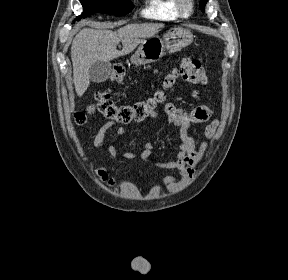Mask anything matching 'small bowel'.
<instances>
[{
    "instance_id": "1",
    "label": "small bowel",
    "mask_w": 288,
    "mask_h": 280,
    "mask_svg": "<svg viewBox=\"0 0 288 280\" xmlns=\"http://www.w3.org/2000/svg\"><path fill=\"white\" fill-rule=\"evenodd\" d=\"M193 96L195 98H199L198 92L194 91ZM163 110L165 113L166 122L173 125L179 131L180 140L175 159L166 162H158L157 164L165 169L177 170L178 175L161 177L158 179V182L164 185L168 190L175 191L185 186L188 180L194 176L195 169L203 159L205 150L207 148L206 142L202 143L198 149L196 148V142L193 136L190 134V128L193 124H200L209 121L213 115V109L210 105L203 104L193 108L190 111H185L175 106L172 102L166 100ZM158 115L159 110L156 109L151 113L150 117H157ZM112 125V122H106L96 133L94 137V146L98 150L103 148L104 138ZM217 125L218 123L216 120L207 125L205 129L207 138H211L214 135ZM125 133L126 129L122 126L116 131L118 136H123ZM107 151L111 158H117L118 153L115 144H110ZM152 155L150 145H147L140 154H136L131 151H124L122 154L123 159L125 160H132L136 159L137 157L146 160L151 158ZM95 172L99 176L100 180L107 183L108 186L113 187L115 185V179L109 176L104 167H98Z\"/></svg>"
}]
</instances>
